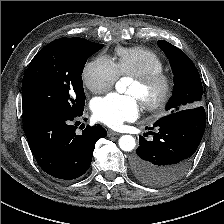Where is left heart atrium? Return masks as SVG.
Returning a JSON list of instances; mask_svg holds the SVG:
<instances>
[{"label":"left heart atrium","instance_id":"left-heart-atrium-1","mask_svg":"<svg viewBox=\"0 0 224 224\" xmlns=\"http://www.w3.org/2000/svg\"><path fill=\"white\" fill-rule=\"evenodd\" d=\"M140 108L138 96L117 93L95 99L92 106L95 118L111 128H118L124 122L136 119Z\"/></svg>","mask_w":224,"mask_h":224}]
</instances>
